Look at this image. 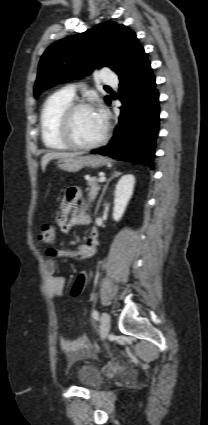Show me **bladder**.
Wrapping results in <instances>:
<instances>
[{
  "instance_id": "1",
  "label": "bladder",
  "mask_w": 208,
  "mask_h": 425,
  "mask_svg": "<svg viewBox=\"0 0 208 425\" xmlns=\"http://www.w3.org/2000/svg\"><path fill=\"white\" fill-rule=\"evenodd\" d=\"M76 379L84 388H96L102 383V374L98 367L85 362L81 364L76 372Z\"/></svg>"
}]
</instances>
